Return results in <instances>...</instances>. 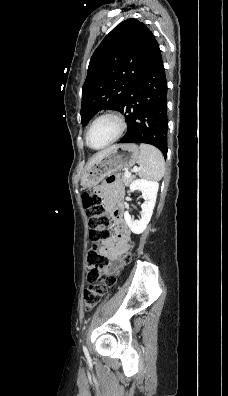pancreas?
<instances>
[{
    "instance_id": "obj_1",
    "label": "pancreas",
    "mask_w": 228,
    "mask_h": 396,
    "mask_svg": "<svg viewBox=\"0 0 228 396\" xmlns=\"http://www.w3.org/2000/svg\"><path fill=\"white\" fill-rule=\"evenodd\" d=\"M122 180L124 182V184L126 186H128L133 180H134V176H126L125 172L122 174Z\"/></svg>"
}]
</instances>
